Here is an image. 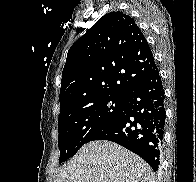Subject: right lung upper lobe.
Masks as SVG:
<instances>
[{
  "label": "right lung upper lobe",
  "mask_w": 196,
  "mask_h": 182,
  "mask_svg": "<svg viewBox=\"0 0 196 182\" xmlns=\"http://www.w3.org/2000/svg\"><path fill=\"white\" fill-rule=\"evenodd\" d=\"M154 66L149 44L133 18L110 12L68 51L60 113L103 96L126 98Z\"/></svg>",
  "instance_id": "obj_1"
}]
</instances>
